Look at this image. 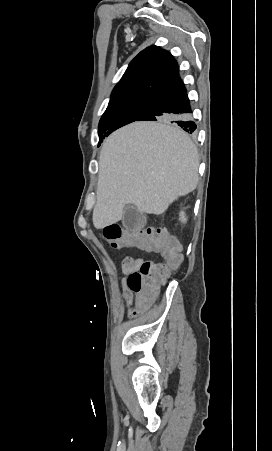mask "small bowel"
I'll list each match as a JSON object with an SVG mask.
<instances>
[{
  "mask_svg": "<svg viewBox=\"0 0 272 451\" xmlns=\"http://www.w3.org/2000/svg\"><path fill=\"white\" fill-rule=\"evenodd\" d=\"M122 270V269H121ZM122 272H123V274L126 276L123 280H122V293H123V296H124V298L126 299V301L128 302V303H134L135 305H136V308L135 309H133V310H130L133 314H135V315H137V314H139L142 310H144V309H138V306H137V303H138V300H132V295H128V289H126V280H127V273H128V270H122Z\"/></svg>",
  "mask_w": 272,
  "mask_h": 451,
  "instance_id": "obj_1",
  "label": "small bowel"
}]
</instances>
